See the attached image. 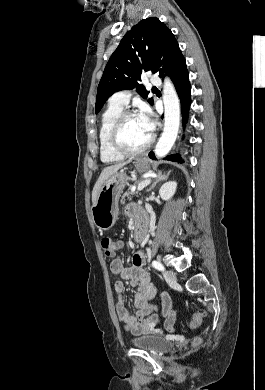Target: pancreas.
Segmentation results:
<instances>
[{"mask_svg": "<svg viewBox=\"0 0 265 390\" xmlns=\"http://www.w3.org/2000/svg\"><path fill=\"white\" fill-rule=\"evenodd\" d=\"M133 194H135V191H133L132 188L129 187L128 191L123 194V198Z\"/></svg>", "mask_w": 265, "mask_h": 390, "instance_id": "pancreas-1", "label": "pancreas"}]
</instances>
